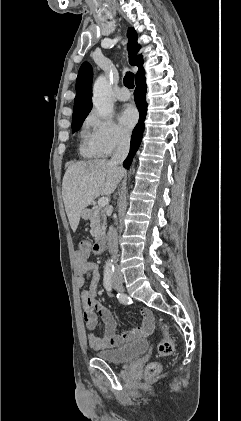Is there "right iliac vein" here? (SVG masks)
I'll return each instance as SVG.
<instances>
[{
	"instance_id": "obj_1",
	"label": "right iliac vein",
	"mask_w": 241,
	"mask_h": 421,
	"mask_svg": "<svg viewBox=\"0 0 241 421\" xmlns=\"http://www.w3.org/2000/svg\"><path fill=\"white\" fill-rule=\"evenodd\" d=\"M113 286H114L117 290H119V291H123V284H122V281H121V280H115V281L113 282Z\"/></svg>"
}]
</instances>
